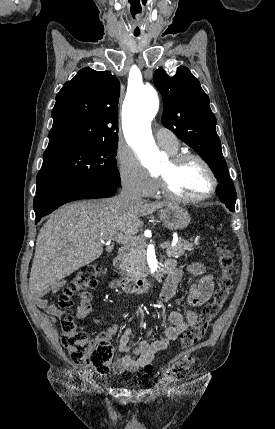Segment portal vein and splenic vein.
Here are the masks:
<instances>
[{
	"label": "portal vein and splenic vein",
	"instance_id": "18ae733b",
	"mask_svg": "<svg viewBox=\"0 0 275 429\" xmlns=\"http://www.w3.org/2000/svg\"><path fill=\"white\" fill-rule=\"evenodd\" d=\"M111 240H115L116 242L123 244V245H136L139 241H141L142 239L139 238H135V237H131V236H127L124 234H116L114 236H111L109 238V241ZM161 248H165L168 246V243H161L159 245Z\"/></svg>",
	"mask_w": 275,
	"mask_h": 429
}]
</instances>
